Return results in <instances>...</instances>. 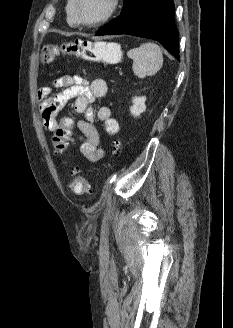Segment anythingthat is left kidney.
<instances>
[{"label": "left kidney", "mask_w": 233, "mask_h": 328, "mask_svg": "<svg viewBox=\"0 0 233 328\" xmlns=\"http://www.w3.org/2000/svg\"><path fill=\"white\" fill-rule=\"evenodd\" d=\"M146 97H134L132 99L133 105L130 107V112L133 116L137 117L146 110L145 105Z\"/></svg>", "instance_id": "1"}]
</instances>
